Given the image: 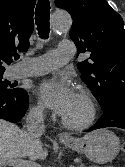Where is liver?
Masks as SVG:
<instances>
[{
  "label": "liver",
  "instance_id": "6515ba94",
  "mask_svg": "<svg viewBox=\"0 0 125 167\" xmlns=\"http://www.w3.org/2000/svg\"><path fill=\"white\" fill-rule=\"evenodd\" d=\"M47 155L38 137H32L27 131L0 119V159L28 157L36 160Z\"/></svg>",
  "mask_w": 125,
  "mask_h": 167
}]
</instances>
